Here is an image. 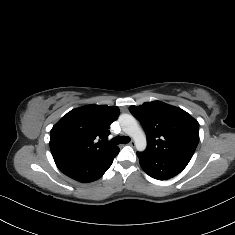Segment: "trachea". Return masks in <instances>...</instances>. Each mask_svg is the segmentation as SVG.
I'll use <instances>...</instances> for the list:
<instances>
[{
  "mask_svg": "<svg viewBox=\"0 0 235 235\" xmlns=\"http://www.w3.org/2000/svg\"><path fill=\"white\" fill-rule=\"evenodd\" d=\"M128 142H130V137H128V136H117V137H114L110 141V143L113 145L126 144Z\"/></svg>",
  "mask_w": 235,
  "mask_h": 235,
  "instance_id": "obj_1",
  "label": "trachea"
}]
</instances>
